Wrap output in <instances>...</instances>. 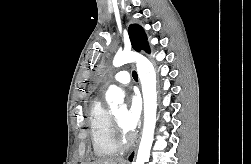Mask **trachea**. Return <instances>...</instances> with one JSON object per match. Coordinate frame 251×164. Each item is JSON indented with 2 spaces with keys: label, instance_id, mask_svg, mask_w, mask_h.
<instances>
[{
  "label": "trachea",
  "instance_id": "obj_1",
  "mask_svg": "<svg viewBox=\"0 0 251 164\" xmlns=\"http://www.w3.org/2000/svg\"><path fill=\"white\" fill-rule=\"evenodd\" d=\"M132 76H133L134 80H138V75H137L136 71L132 72Z\"/></svg>",
  "mask_w": 251,
  "mask_h": 164
}]
</instances>
